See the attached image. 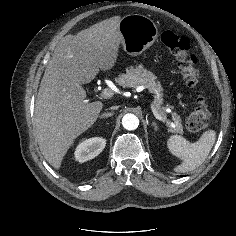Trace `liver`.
I'll return each instance as SVG.
<instances>
[{
	"label": "liver",
	"mask_w": 236,
	"mask_h": 236,
	"mask_svg": "<svg viewBox=\"0 0 236 236\" xmlns=\"http://www.w3.org/2000/svg\"><path fill=\"white\" fill-rule=\"evenodd\" d=\"M120 21L114 16L66 35L46 67L35 103V127L40 151L55 169L102 110V102L86 99L82 84L90 83L99 70L114 67L122 43Z\"/></svg>",
	"instance_id": "obj_1"
}]
</instances>
